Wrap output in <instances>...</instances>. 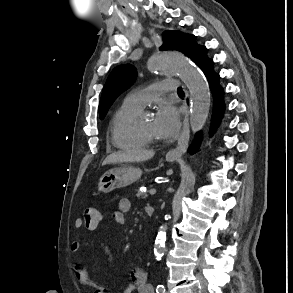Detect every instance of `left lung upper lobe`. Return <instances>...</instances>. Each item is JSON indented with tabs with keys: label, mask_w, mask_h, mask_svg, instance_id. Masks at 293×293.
<instances>
[{
	"label": "left lung upper lobe",
	"mask_w": 293,
	"mask_h": 293,
	"mask_svg": "<svg viewBox=\"0 0 293 293\" xmlns=\"http://www.w3.org/2000/svg\"><path fill=\"white\" fill-rule=\"evenodd\" d=\"M162 37L164 44L160 50H177L192 60L202 47L196 44L195 36L179 31H165ZM135 78L136 69L131 65H120L113 69L108 76L101 95L99 104V116L101 119L105 116L114 100L132 85Z\"/></svg>",
	"instance_id": "obj_1"
}]
</instances>
